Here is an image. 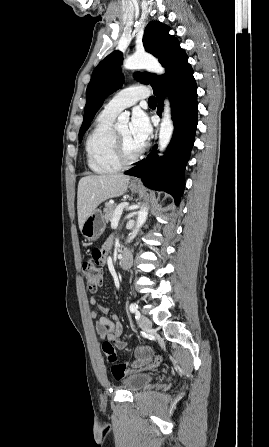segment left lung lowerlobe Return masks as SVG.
Segmentation results:
<instances>
[{"instance_id":"obj_1","label":"left lung lower lobe","mask_w":269,"mask_h":447,"mask_svg":"<svg viewBox=\"0 0 269 447\" xmlns=\"http://www.w3.org/2000/svg\"><path fill=\"white\" fill-rule=\"evenodd\" d=\"M157 114L161 116L164 96L172 107L175 129L172 140L162 157L156 155V146L137 166L124 174L140 177L148 188L170 193L178 205L184 191V169L189 160L197 128V86L188 56L182 52L170 76L156 90Z\"/></svg>"}]
</instances>
